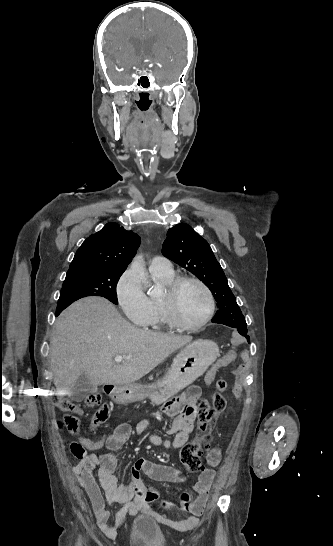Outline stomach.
<instances>
[{
	"label": "stomach",
	"mask_w": 333,
	"mask_h": 546,
	"mask_svg": "<svg viewBox=\"0 0 333 546\" xmlns=\"http://www.w3.org/2000/svg\"><path fill=\"white\" fill-rule=\"evenodd\" d=\"M218 356L219 347L215 342L207 339L195 340L178 353L162 379L146 386L138 384L115 386L110 396L120 404L146 398H150L156 404H162L192 384Z\"/></svg>",
	"instance_id": "0dacf381"
}]
</instances>
